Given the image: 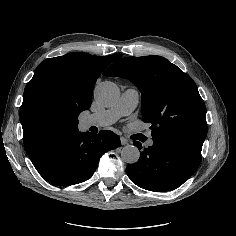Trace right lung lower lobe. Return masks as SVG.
Instances as JSON below:
<instances>
[{"label": "right lung lower lobe", "mask_w": 236, "mask_h": 236, "mask_svg": "<svg viewBox=\"0 0 236 236\" xmlns=\"http://www.w3.org/2000/svg\"><path fill=\"white\" fill-rule=\"evenodd\" d=\"M119 145L120 138L112 131L102 130L99 134L77 131L55 142L33 164L52 184H78L92 176L104 153Z\"/></svg>", "instance_id": "1"}]
</instances>
